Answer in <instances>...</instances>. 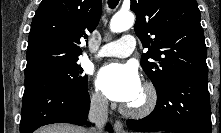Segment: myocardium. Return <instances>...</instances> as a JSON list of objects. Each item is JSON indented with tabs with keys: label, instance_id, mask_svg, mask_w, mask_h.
<instances>
[{
	"label": "myocardium",
	"instance_id": "f54148a6",
	"mask_svg": "<svg viewBox=\"0 0 221 133\" xmlns=\"http://www.w3.org/2000/svg\"><path fill=\"white\" fill-rule=\"evenodd\" d=\"M143 100L137 105H126L123 108L125 115L142 118L149 115L156 107L158 95L156 88L149 82L145 83L142 87Z\"/></svg>",
	"mask_w": 221,
	"mask_h": 133
}]
</instances>
